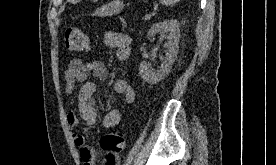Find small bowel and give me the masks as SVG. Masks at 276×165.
I'll use <instances>...</instances> for the list:
<instances>
[{"label":"small bowel","instance_id":"c3829d8e","mask_svg":"<svg viewBox=\"0 0 276 165\" xmlns=\"http://www.w3.org/2000/svg\"><path fill=\"white\" fill-rule=\"evenodd\" d=\"M104 43L116 51V56L119 61H127L131 55L129 36L118 32H106L103 37ZM94 76L100 79H105L108 76V70L100 60H91L83 62L81 59L72 60L64 73L65 91L71 95L78 83L81 84L78 92V111L80 118L89 126H93L97 122V109L95 101L96 86L89 81V77ZM113 89L116 94L122 95L123 100L127 104L135 101V91L124 79H118L113 84ZM121 119V113L118 108L109 110L103 120L102 126L105 129H110L117 126ZM67 122L72 130V138L78 148L80 158L83 165H97L95 150L88 145L85 138L77 131L79 118L77 114L70 111L67 113ZM105 165H119L117 155H105Z\"/></svg>","mask_w":276,"mask_h":165}]
</instances>
